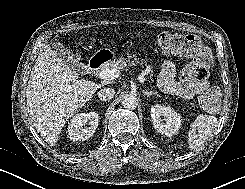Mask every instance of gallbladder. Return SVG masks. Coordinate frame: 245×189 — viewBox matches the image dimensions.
Masks as SVG:
<instances>
[{
  "label": "gallbladder",
  "instance_id": "bac80fb5",
  "mask_svg": "<svg viewBox=\"0 0 245 189\" xmlns=\"http://www.w3.org/2000/svg\"><path fill=\"white\" fill-rule=\"evenodd\" d=\"M52 48L54 52L62 58L67 67L79 74H85L87 70L86 66L79 62L78 59L72 57L67 47L59 42H55L52 44Z\"/></svg>",
  "mask_w": 245,
  "mask_h": 189
}]
</instances>
